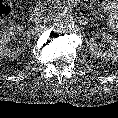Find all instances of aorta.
<instances>
[{"label":"aorta","mask_w":118,"mask_h":118,"mask_svg":"<svg viewBox=\"0 0 118 118\" xmlns=\"http://www.w3.org/2000/svg\"><path fill=\"white\" fill-rule=\"evenodd\" d=\"M52 20L53 24L60 28L72 27L76 23L73 15L68 12L56 14L53 16Z\"/></svg>","instance_id":"1"}]
</instances>
